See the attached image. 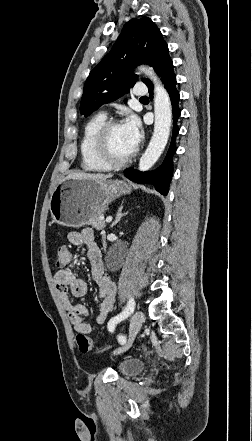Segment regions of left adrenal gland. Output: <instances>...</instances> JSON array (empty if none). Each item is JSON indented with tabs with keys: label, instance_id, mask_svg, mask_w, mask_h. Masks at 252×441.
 Masks as SVG:
<instances>
[{
	"label": "left adrenal gland",
	"instance_id": "a2214340",
	"mask_svg": "<svg viewBox=\"0 0 252 441\" xmlns=\"http://www.w3.org/2000/svg\"><path fill=\"white\" fill-rule=\"evenodd\" d=\"M122 209H123V206H121L118 209L115 221L112 223L111 228H113L121 220V218L124 217L128 213V212L122 213Z\"/></svg>",
	"mask_w": 252,
	"mask_h": 441
}]
</instances>
